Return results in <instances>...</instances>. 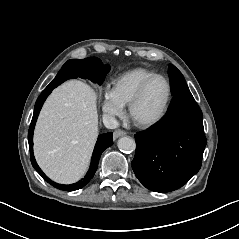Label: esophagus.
<instances>
[{
	"instance_id": "esophagus-1",
	"label": "esophagus",
	"mask_w": 239,
	"mask_h": 239,
	"mask_svg": "<svg viewBox=\"0 0 239 239\" xmlns=\"http://www.w3.org/2000/svg\"><path fill=\"white\" fill-rule=\"evenodd\" d=\"M126 135V132L123 130H115L113 132V140L115 141L117 138Z\"/></svg>"
}]
</instances>
